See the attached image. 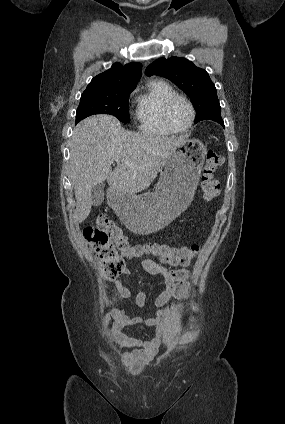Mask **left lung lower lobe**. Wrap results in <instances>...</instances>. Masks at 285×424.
<instances>
[{"label": "left lung lower lobe", "mask_w": 285, "mask_h": 424, "mask_svg": "<svg viewBox=\"0 0 285 424\" xmlns=\"http://www.w3.org/2000/svg\"><path fill=\"white\" fill-rule=\"evenodd\" d=\"M208 120L215 121V122H217V123L221 124V125L224 127V122H223V120H222V118H221V115H214V116H211V117H209V119H208Z\"/></svg>", "instance_id": "left-lung-lower-lobe-1"}]
</instances>
